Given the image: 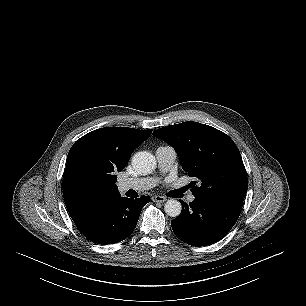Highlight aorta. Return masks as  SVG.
Wrapping results in <instances>:
<instances>
[{"label": "aorta", "mask_w": 306, "mask_h": 306, "mask_svg": "<svg viewBox=\"0 0 306 306\" xmlns=\"http://www.w3.org/2000/svg\"><path fill=\"white\" fill-rule=\"evenodd\" d=\"M132 166L140 175L150 174L156 168L155 157L146 151L137 152L132 158ZM165 213L170 217H178L182 206L178 200L170 199L165 203Z\"/></svg>", "instance_id": "762f6f07"}]
</instances>
